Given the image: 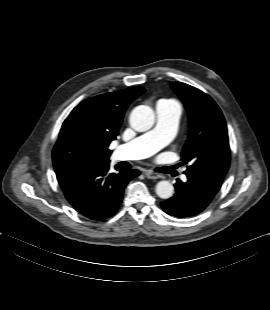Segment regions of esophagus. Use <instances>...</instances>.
Instances as JSON below:
<instances>
[{"mask_svg":"<svg viewBox=\"0 0 270 310\" xmlns=\"http://www.w3.org/2000/svg\"><path fill=\"white\" fill-rule=\"evenodd\" d=\"M145 175L148 179H158L160 178V175L158 173H155L153 171H146Z\"/></svg>","mask_w":270,"mask_h":310,"instance_id":"esophagus-1","label":"esophagus"}]
</instances>
